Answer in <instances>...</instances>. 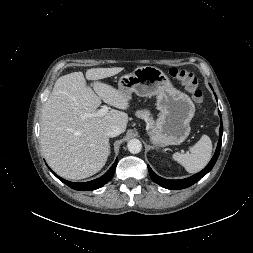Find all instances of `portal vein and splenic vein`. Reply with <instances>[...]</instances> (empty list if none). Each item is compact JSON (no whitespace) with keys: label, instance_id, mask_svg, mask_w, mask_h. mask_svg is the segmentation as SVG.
Instances as JSON below:
<instances>
[{"label":"portal vein and splenic vein","instance_id":"18ae733b","mask_svg":"<svg viewBox=\"0 0 253 253\" xmlns=\"http://www.w3.org/2000/svg\"><path fill=\"white\" fill-rule=\"evenodd\" d=\"M108 107L106 105H103L100 110H98L97 114H84L82 115V118H88L92 116H104L108 112Z\"/></svg>","mask_w":253,"mask_h":253}]
</instances>
